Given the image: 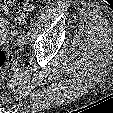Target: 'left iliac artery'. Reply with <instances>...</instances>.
<instances>
[{
	"label": "left iliac artery",
	"mask_w": 113,
	"mask_h": 113,
	"mask_svg": "<svg viewBox=\"0 0 113 113\" xmlns=\"http://www.w3.org/2000/svg\"><path fill=\"white\" fill-rule=\"evenodd\" d=\"M26 36L28 37V39H29V37H30V32L28 31V32H26Z\"/></svg>",
	"instance_id": "1"
}]
</instances>
